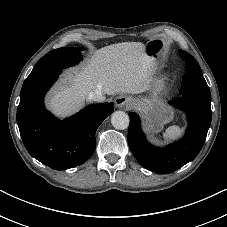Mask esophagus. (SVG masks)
<instances>
[{
    "label": "esophagus",
    "instance_id": "34e87169",
    "mask_svg": "<svg viewBox=\"0 0 227 227\" xmlns=\"http://www.w3.org/2000/svg\"><path fill=\"white\" fill-rule=\"evenodd\" d=\"M115 104L118 108L126 109L130 106L131 100L126 96H119L115 99Z\"/></svg>",
    "mask_w": 227,
    "mask_h": 227
}]
</instances>
